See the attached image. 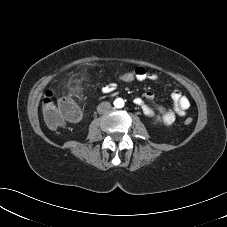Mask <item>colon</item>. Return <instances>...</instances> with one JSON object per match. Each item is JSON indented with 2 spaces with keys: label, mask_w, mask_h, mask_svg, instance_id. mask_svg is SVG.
Instances as JSON below:
<instances>
[{
  "label": "colon",
  "mask_w": 227,
  "mask_h": 227,
  "mask_svg": "<svg viewBox=\"0 0 227 227\" xmlns=\"http://www.w3.org/2000/svg\"><path fill=\"white\" fill-rule=\"evenodd\" d=\"M117 79L124 84H131L138 81L136 69L126 70L118 73ZM42 110L45 122L50 128H58L66 121L75 122L81 117V110L75 101L70 97H62L56 101L53 91H47L42 102ZM192 118L186 117L185 123L191 124Z\"/></svg>",
  "instance_id": "obj_1"
}]
</instances>
